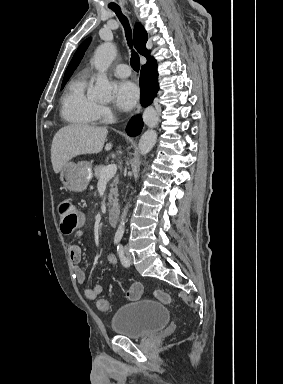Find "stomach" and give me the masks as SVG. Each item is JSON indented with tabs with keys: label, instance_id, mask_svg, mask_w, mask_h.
Wrapping results in <instances>:
<instances>
[{
	"label": "stomach",
	"instance_id": "0dacf381",
	"mask_svg": "<svg viewBox=\"0 0 283 384\" xmlns=\"http://www.w3.org/2000/svg\"><path fill=\"white\" fill-rule=\"evenodd\" d=\"M93 178L90 162H68L60 172L63 188L70 192H84Z\"/></svg>",
	"mask_w": 283,
	"mask_h": 384
}]
</instances>
